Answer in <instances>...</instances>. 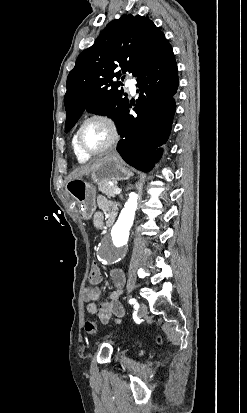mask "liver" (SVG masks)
<instances>
[{
  "instance_id": "6515ba94",
  "label": "liver",
  "mask_w": 247,
  "mask_h": 413,
  "mask_svg": "<svg viewBox=\"0 0 247 413\" xmlns=\"http://www.w3.org/2000/svg\"><path fill=\"white\" fill-rule=\"evenodd\" d=\"M99 160H101V158H99ZM99 160H96V162H89V164H82V166H78V168H75L73 172H70L68 176L69 180H72V178H82L83 174H87V172H90V170H93V168H95Z\"/></svg>"
}]
</instances>
